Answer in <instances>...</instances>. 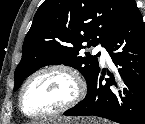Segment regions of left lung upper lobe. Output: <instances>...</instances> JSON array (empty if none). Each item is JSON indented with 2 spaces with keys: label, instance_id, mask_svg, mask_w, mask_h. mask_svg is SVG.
Instances as JSON below:
<instances>
[{
  "label": "left lung upper lobe",
  "instance_id": "5c2ea615",
  "mask_svg": "<svg viewBox=\"0 0 145 124\" xmlns=\"http://www.w3.org/2000/svg\"><path fill=\"white\" fill-rule=\"evenodd\" d=\"M134 0H46L37 10L27 33L22 59L14 73V91L39 68L65 64L79 70L88 90L100 68L97 56L80 50L108 43L127 21Z\"/></svg>",
  "mask_w": 145,
  "mask_h": 124
}]
</instances>
